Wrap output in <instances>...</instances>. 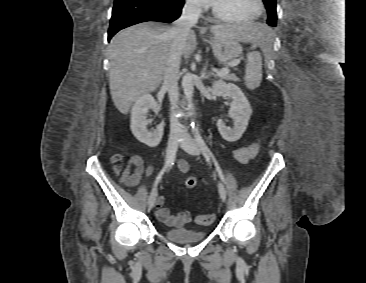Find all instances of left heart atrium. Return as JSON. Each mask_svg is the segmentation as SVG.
I'll return each instance as SVG.
<instances>
[{
  "label": "left heart atrium",
  "mask_w": 366,
  "mask_h": 283,
  "mask_svg": "<svg viewBox=\"0 0 366 283\" xmlns=\"http://www.w3.org/2000/svg\"><path fill=\"white\" fill-rule=\"evenodd\" d=\"M204 2H207V3H214L216 0H202Z\"/></svg>",
  "instance_id": "left-heart-atrium-1"
}]
</instances>
